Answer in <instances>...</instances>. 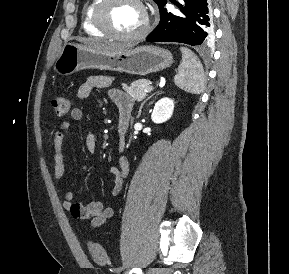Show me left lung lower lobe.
<instances>
[{"mask_svg":"<svg viewBox=\"0 0 289 274\" xmlns=\"http://www.w3.org/2000/svg\"><path fill=\"white\" fill-rule=\"evenodd\" d=\"M179 14L168 12L163 2L159 25L150 33L147 41L180 42L192 46L205 45L213 37L212 15L209 0H183Z\"/></svg>","mask_w":289,"mask_h":274,"instance_id":"1","label":"left lung lower lobe"}]
</instances>
